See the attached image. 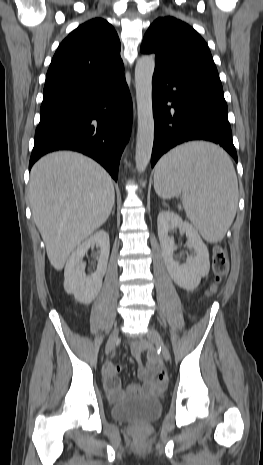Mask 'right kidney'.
<instances>
[{
  "instance_id": "1",
  "label": "right kidney",
  "mask_w": 263,
  "mask_h": 465,
  "mask_svg": "<svg viewBox=\"0 0 263 465\" xmlns=\"http://www.w3.org/2000/svg\"><path fill=\"white\" fill-rule=\"evenodd\" d=\"M100 248L97 269L91 276L85 274L83 257L90 247ZM110 252L109 235L104 230L90 236L71 254L64 270V289L73 294L82 304H90L100 292L102 280L107 270Z\"/></svg>"
}]
</instances>
